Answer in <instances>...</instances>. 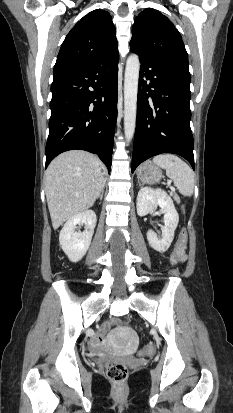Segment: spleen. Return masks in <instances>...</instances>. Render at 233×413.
<instances>
[{
	"label": "spleen",
	"mask_w": 233,
	"mask_h": 413,
	"mask_svg": "<svg viewBox=\"0 0 233 413\" xmlns=\"http://www.w3.org/2000/svg\"><path fill=\"white\" fill-rule=\"evenodd\" d=\"M153 163L166 170V175L174 182L180 194H193L194 173L183 160L171 154H161L153 158Z\"/></svg>",
	"instance_id": "obj_1"
}]
</instances>
